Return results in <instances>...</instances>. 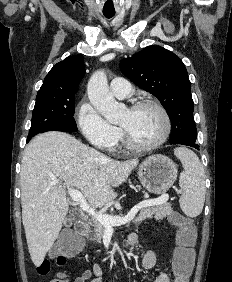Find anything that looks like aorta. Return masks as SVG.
<instances>
[{
    "label": "aorta",
    "mask_w": 232,
    "mask_h": 282,
    "mask_svg": "<svg viewBox=\"0 0 232 282\" xmlns=\"http://www.w3.org/2000/svg\"><path fill=\"white\" fill-rule=\"evenodd\" d=\"M87 93L91 104L110 122L118 123L125 111V106L118 103L109 91L104 70L92 74L88 81Z\"/></svg>",
    "instance_id": "aorta-1"
}]
</instances>
